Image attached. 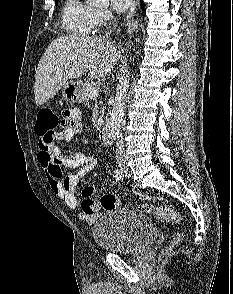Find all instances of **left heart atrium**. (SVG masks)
I'll list each match as a JSON object with an SVG mask.
<instances>
[{
  "mask_svg": "<svg viewBox=\"0 0 233 294\" xmlns=\"http://www.w3.org/2000/svg\"><path fill=\"white\" fill-rule=\"evenodd\" d=\"M111 5L115 10L124 11L126 10L132 3V0H110Z\"/></svg>",
  "mask_w": 233,
  "mask_h": 294,
  "instance_id": "left-heart-atrium-1",
  "label": "left heart atrium"
}]
</instances>
